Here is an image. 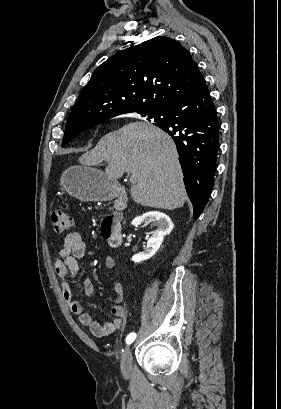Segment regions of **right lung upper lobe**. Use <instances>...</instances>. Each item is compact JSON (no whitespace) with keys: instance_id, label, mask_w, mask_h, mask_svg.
I'll list each match as a JSON object with an SVG mask.
<instances>
[{"instance_id":"obj_1","label":"right lung upper lobe","mask_w":281,"mask_h":409,"mask_svg":"<svg viewBox=\"0 0 281 409\" xmlns=\"http://www.w3.org/2000/svg\"><path fill=\"white\" fill-rule=\"evenodd\" d=\"M202 75L179 42L155 37L101 64L82 90L66 128L131 112H155L186 94Z\"/></svg>"}]
</instances>
